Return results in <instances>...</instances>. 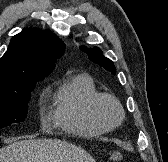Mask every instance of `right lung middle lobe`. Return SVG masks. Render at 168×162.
<instances>
[{"mask_svg":"<svg viewBox=\"0 0 168 162\" xmlns=\"http://www.w3.org/2000/svg\"><path fill=\"white\" fill-rule=\"evenodd\" d=\"M37 81H23L12 88L0 89V128L25 120L31 91Z\"/></svg>","mask_w":168,"mask_h":162,"instance_id":"obj_1","label":"right lung middle lobe"}]
</instances>
